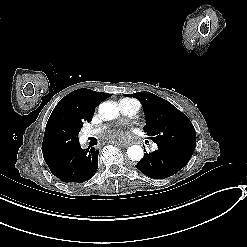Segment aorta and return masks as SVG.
<instances>
[{
  "label": "aorta",
  "mask_w": 247,
  "mask_h": 247,
  "mask_svg": "<svg viewBox=\"0 0 247 247\" xmlns=\"http://www.w3.org/2000/svg\"><path fill=\"white\" fill-rule=\"evenodd\" d=\"M99 113L103 118L112 120L118 116L119 109L116 104L107 101L99 105ZM127 155L132 161H140L143 158L144 152L142 147L133 145L128 148Z\"/></svg>",
  "instance_id": "aorta-1"
}]
</instances>
